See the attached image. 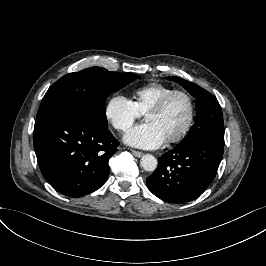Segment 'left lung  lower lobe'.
Wrapping results in <instances>:
<instances>
[{
    "mask_svg": "<svg viewBox=\"0 0 266 266\" xmlns=\"http://www.w3.org/2000/svg\"><path fill=\"white\" fill-rule=\"evenodd\" d=\"M223 151L224 139L214 137L176 146L158 158V167L147 178V186L155 196L164 201H192L213 181Z\"/></svg>",
    "mask_w": 266,
    "mask_h": 266,
    "instance_id": "obj_1",
    "label": "left lung lower lobe"
}]
</instances>
